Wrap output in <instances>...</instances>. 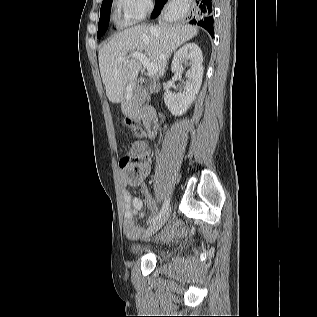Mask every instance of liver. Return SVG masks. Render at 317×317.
<instances>
[{
    "label": "liver",
    "mask_w": 317,
    "mask_h": 317,
    "mask_svg": "<svg viewBox=\"0 0 317 317\" xmlns=\"http://www.w3.org/2000/svg\"><path fill=\"white\" fill-rule=\"evenodd\" d=\"M198 33L195 26L138 25L119 32L105 44L98 54L100 73L110 102L120 103L126 98L128 86L135 83L141 62L132 57L120 61L128 53L142 52L157 65L159 76L165 73L166 62L173 51Z\"/></svg>",
    "instance_id": "obj_1"
}]
</instances>
